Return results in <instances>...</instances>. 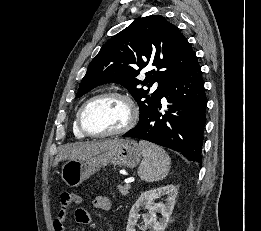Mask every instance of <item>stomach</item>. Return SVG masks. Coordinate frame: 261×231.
<instances>
[{
  "label": "stomach",
  "instance_id": "obj_1",
  "mask_svg": "<svg viewBox=\"0 0 261 231\" xmlns=\"http://www.w3.org/2000/svg\"><path fill=\"white\" fill-rule=\"evenodd\" d=\"M142 150L135 140H120L106 151L81 160H68L62 167L61 178L69 187H77L101 167L109 164L136 167Z\"/></svg>",
  "mask_w": 261,
  "mask_h": 231
}]
</instances>
